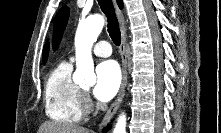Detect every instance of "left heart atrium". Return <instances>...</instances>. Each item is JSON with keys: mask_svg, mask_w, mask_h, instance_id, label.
Here are the masks:
<instances>
[{"mask_svg": "<svg viewBox=\"0 0 221 133\" xmlns=\"http://www.w3.org/2000/svg\"><path fill=\"white\" fill-rule=\"evenodd\" d=\"M121 82V74L116 62L104 61L96 67V85L94 96L103 102L109 101L117 93Z\"/></svg>", "mask_w": 221, "mask_h": 133, "instance_id": "left-heart-atrium-1", "label": "left heart atrium"}]
</instances>
